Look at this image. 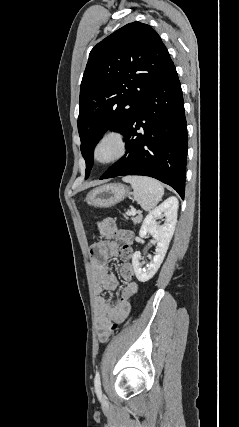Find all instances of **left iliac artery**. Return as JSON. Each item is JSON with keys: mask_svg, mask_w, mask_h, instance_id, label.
<instances>
[{"mask_svg": "<svg viewBox=\"0 0 239 427\" xmlns=\"http://www.w3.org/2000/svg\"><path fill=\"white\" fill-rule=\"evenodd\" d=\"M94 386H95V391L96 394L98 396V398L101 399L102 397V389H101V380H100V373L97 371L95 378H94Z\"/></svg>", "mask_w": 239, "mask_h": 427, "instance_id": "44dca946", "label": "left iliac artery"}]
</instances>
